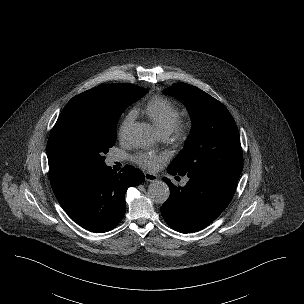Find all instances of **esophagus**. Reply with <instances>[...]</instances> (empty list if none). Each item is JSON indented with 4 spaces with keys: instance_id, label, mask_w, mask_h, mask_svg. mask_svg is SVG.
<instances>
[{
    "instance_id": "esophagus-1",
    "label": "esophagus",
    "mask_w": 304,
    "mask_h": 304,
    "mask_svg": "<svg viewBox=\"0 0 304 304\" xmlns=\"http://www.w3.org/2000/svg\"><path fill=\"white\" fill-rule=\"evenodd\" d=\"M144 176H145V180L149 181V182H155V181L158 180L157 175L152 174V173L147 172V173L144 174Z\"/></svg>"
}]
</instances>
